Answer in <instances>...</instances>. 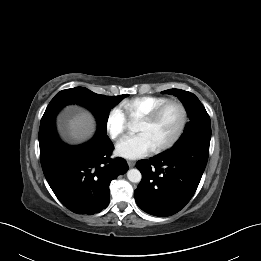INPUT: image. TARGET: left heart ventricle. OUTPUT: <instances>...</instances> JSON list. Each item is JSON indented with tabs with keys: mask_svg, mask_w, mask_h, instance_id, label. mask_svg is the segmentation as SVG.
<instances>
[{
	"mask_svg": "<svg viewBox=\"0 0 261 261\" xmlns=\"http://www.w3.org/2000/svg\"><path fill=\"white\" fill-rule=\"evenodd\" d=\"M179 123L180 112L176 107L171 106L152 124L138 122L135 132L144 134L154 148L169 140L176 132Z\"/></svg>",
	"mask_w": 261,
	"mask_h": 261,
	"instance_id": "1",
	"label": "left heart ventricle"
}]
</instances>
